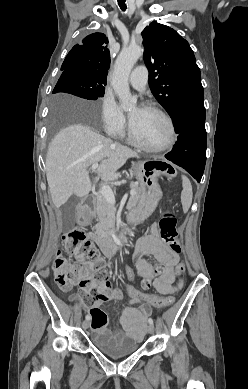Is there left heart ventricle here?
Listing matches in <instances>:
<instances>
[{"label": "left heart ventricle", "instance_id": "1", "mask_svg": "<svg viewBox=\"0 0 248 389\" xmlns=\"http://www.w3.org/2000/svg\"><path fill=\"white\" fill-rule=\"evenodd\" d=\"M129 117L135 135L145 145L156 147L168 140V125L156 112L134 107L129 111Z\"/></svg>", "mask_w": 248, "mask_h": 389}]
</instances>
